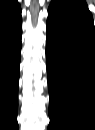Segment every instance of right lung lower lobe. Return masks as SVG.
Returning <instances> with one entry per match:
<instances>
[{
  "label": "right lung lower lobe",
  "instance_id": "right-lung-lower-lobe-1",
  "mask_svg": "<svg viewBox=\"0 0 95 130\" xmlns=\"http://www.w3.org/2000/svg\"><path fill=\"white\" fill-rule=\"evenodd\" d=\"M21 33V24L0 33V109L11 123L15 122L17 114Z\"/></svg>",
  "mask_w": 95,
  "mask_h": 130
}]
</instances>
